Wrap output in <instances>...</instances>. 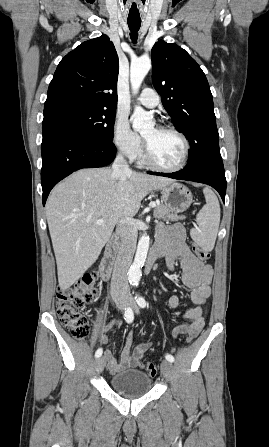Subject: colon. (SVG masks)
Returning <instances> with one entry per match:
<instances>
[{
	"instance_id": "obj_1",
	"label": "colon",
	"mask_w": 269,
	"mask_h": 447,
	"mask_svg": "<svg viewBox=\"0 0 269 447\" xmlns=\"http://www.w3.org/2000/svg\"><path fill=\"white\" fill-rule=\"evenodd\" d=\"M191 249L200 261L207 262L210 259V253L200 246L193 244ZM97 295V280L89 273L84 274L75 285L56 291L57 316L62 326L77 340H84L90 334V324L85 309L97 299ZM194 337L192 334L186 338V343H191ZM145 373L150 377L156 376L157 365L147 364Z\"/></svg>"
}]
</instances>
